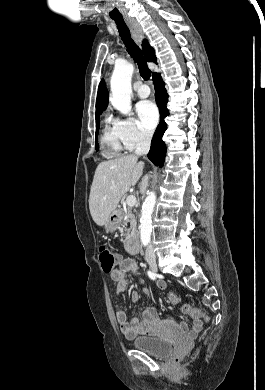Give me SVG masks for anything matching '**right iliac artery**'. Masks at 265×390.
<instances>
[{"label": "right iliac artery", "mask_w": 265, "mask_h": 390, "mask_svg": "<svg viewBox=\"0 0 265 390\" xmlns=\"http://www.w3.org/2000/svg\"><path fill=\"white\" fill-rule=\"evenodd\" d=\"M148 276H149L152 280H155V279H156V274L153 273L152 271H148Z\"/></svg>", "instance_id": "82829eb1"}]
</instances>
